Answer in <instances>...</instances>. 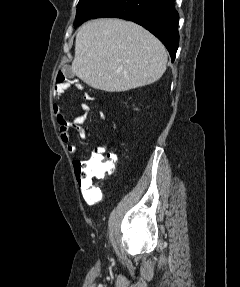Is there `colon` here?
Wrapping results in <instances>:
<instances>
[{"label": "colon", "instance_id": "colon-1", "mask_svg": "<svg viewBox=\"0 0 240 287\" xmlns=\"http://www.w3.org/2000/svg\"><path fill=\"white\" fill-rule=\"evenodd\" d=\"M69 84L66 75L63 71H59L56 77V84L52 91V99L55 103L64 87ZM116 157L114 154H109L103 157L90 161H77L74 163L75 173L77 175L79 185L84 190V194L92 192L91 186L99 179L104 178L111 172L115 166Z\"/></svg>", "mask_w": 240, "mask_h": 287}]
</instances>
